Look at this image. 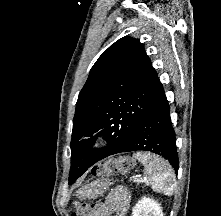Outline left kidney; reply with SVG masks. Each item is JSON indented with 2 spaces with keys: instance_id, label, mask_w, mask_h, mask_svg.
I'll use <instances>...</instances> for the list:
<instances>
[{
  "instance_id": "5707ae66",
  "label": "left kidney",
  "mask_w": 221,
  "mask_h": 216,
  "mask_svg": "<svg viewBox=\"0 0 221 216\" xmlns=\"http://www.w3.org/2000/svg\"><path fill=\"white\" fill-rule=\"evenodd\" d=\"M132 216H163V212L157 201L143 197L133 208Z\"/></svg>"
}]
</instances>
